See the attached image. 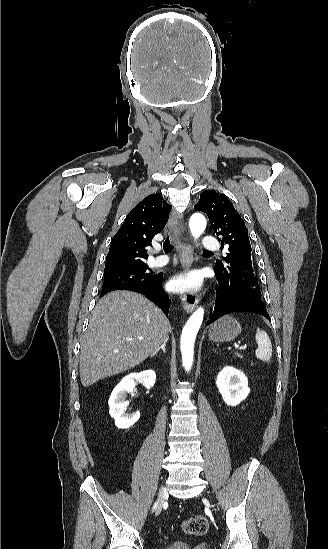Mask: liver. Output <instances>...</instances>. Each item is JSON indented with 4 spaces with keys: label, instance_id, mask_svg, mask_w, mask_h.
<instances>
[{
    "label": "liver",
    "instance_id": "obj_1",
    "mask_svg": "<svg viewBox=\"0 0 328 549\" xmlns=\"http://www.w3.org/2000/svg\"><path fill=\"white\" fill-rule=\"evenodd\" d=\"M170 331L166 315L143 295L108 293L93 309L82 339L79 373L83 387L140 365L168 341Z\"/></svg>",
    "mask_w": 328,
    "mask_h": 549
}]
</instances>
